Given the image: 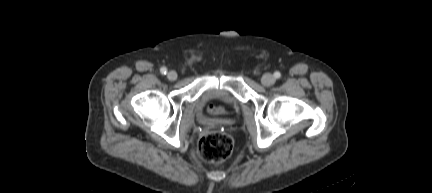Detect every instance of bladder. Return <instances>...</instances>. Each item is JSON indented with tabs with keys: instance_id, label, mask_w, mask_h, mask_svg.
<instances>
[{
	"instance_id": "obj_1",
	"label": "bladder",
	"mask_w": 432,
	"mask_h": 193,
	"mask_svg": "<svg viewBox=\"0 0 432 193\" xmlns=\"http://www.w3.org/2000/svg\"><path fill=\"white\" fill-rule=\"evenodd\" d=\"M214 102L220 103L223 106V113L213 118L205 119L204 122L206 124L209 123H217L221 120H224L227 116L228 109H234L236 107V103L232 96L222 89H209L205 91L197 100L196 103L200 108H204L209 104Z\"/></svg>"
}]
</instances>
